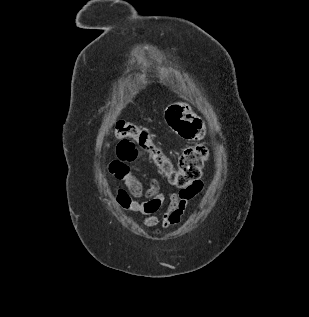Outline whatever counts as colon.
I'll list each match as a JSON object with an SVG mask.
<instances>
[{
  "label": "colon",
  "instance_id": "colon-1",
  "mask_svg": "<svg viewBox=\"0 0 309 317\" xmlns=\"http://www.w3.org/2000/svg\"><path fill=\"white\" fill-rule=\"evenodd\" d=\"M168 125L184 138H197L202 134L201 120L193 116L182 103L170 105L165 112ZM114 136L119 140L117 149L131 146L128 157L135 160L144 154H152L160 169L170 183L180 190H186L200 180L202 169L208 157V150L203 144L185 148L179 156L177 166L172 163L153 144L152 135L143 127L129 122H119Z\"/></svg>",
  "mask_w": 309,
  "mask_h": 317
}]
</instances>
